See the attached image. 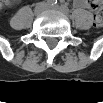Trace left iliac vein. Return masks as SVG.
Returning <instances> with one entry per match:
<instances>
[{
    "label": "left iliac vein",
    "instance_id": "1",
    "mask_svg": "<svg viewBox=\"0 0 103 103\" xmlns=\"http://www.w3.org/2000/svg\"><path fill=\"white\" fill-rule=\"evenodd\" d=\"M47 9L48 10H57V11L61 10V8L59 6H47Z\"/></svg>",
    "mask_w": 103,
    "mask_h": 103
}]
</instances>
